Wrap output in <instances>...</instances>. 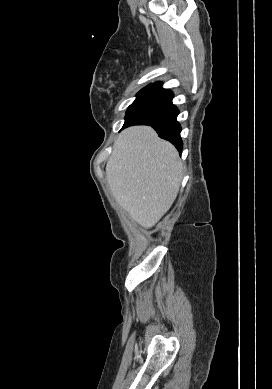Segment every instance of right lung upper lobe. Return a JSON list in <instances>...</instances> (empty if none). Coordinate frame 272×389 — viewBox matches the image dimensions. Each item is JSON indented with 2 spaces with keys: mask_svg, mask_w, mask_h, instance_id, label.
I'll list each match as a JSON object with an SVG mask.
<instances>
[{
  "mask_svg": "<svg viewBox=\"0 0 272 389\" xmlns=\"http://www.w3.org/2000/svg\"><path fill=\"white\" fill-rule=\"evenodd\" d=\"M150 85H157V86H162V83L161 82H157V83H154V84H150Z\"/></svg>",
  "mask_w": 272,
  "mask_h": 389,
  "instance_id": "cb5924a9",
  "label": "right lung upper lobe"
}]
</instances>
